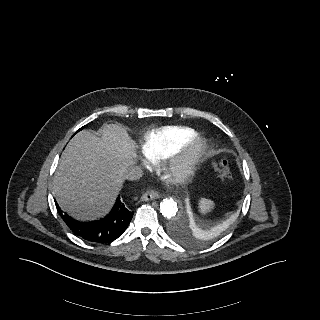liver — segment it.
<instances>
[{
	"label": "liver",
	"mask_w": 320,
	"mask_h": 320,
	"mask_svg": "<svg viewBox=\"0 0 320 320\" xmlns=\"http://www.w3.org/2000/svg\"><path fill=\"white\" fill-rule=\"evenodd\" d=\"M100 137L88 130L76 134L59 161L53 194L64 212L77 220L107 213L136 157L126 129L104 124Z\"/></svg>",
	"instance_id": "obj_1"
}]
</instances>
